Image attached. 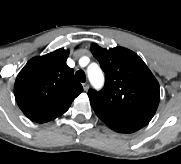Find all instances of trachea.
<instances>
[{"instance_id": "trachea-1", "label": "trachea", "mask_w": 181, "mask_h": 164, "mask_svg": "<svg viewBox=\"0 0 181 164\" xmlns=\"http://www.w3.org/2000/svg\"><path fill=\"white\" fill-rule=\"evenodd\" d=\"M75 79L79 82H85L86 81V75L85 72L83 70H78L75 73Z\"/></svg>"}]
</instances>
